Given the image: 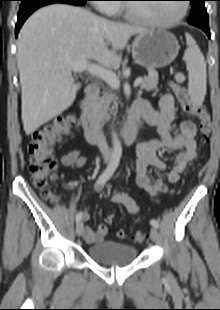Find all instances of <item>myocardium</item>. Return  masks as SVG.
<instances>
[{
  "instance_id": "obj_1",
  "label": "myocardium",
  "mask_w": 220,
  "mask_h": 310,
  "mask_svg": "<svg viewBox=\"0 0 220 310\" xmlns=\"http://www.w3.org/2000/svg\"><path fill=\"white\" fill-rule=\"evenodd\" d=\"M122 9L125 17L132 22L155 28H169L177 25L180 21L184 19L188 12V5L186 2H182L180 13L176 17L167 21H156L142 16H138L133 12L131 4H124Z\"/></svg>"
}]
</instances>
